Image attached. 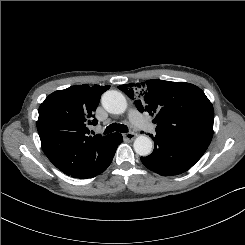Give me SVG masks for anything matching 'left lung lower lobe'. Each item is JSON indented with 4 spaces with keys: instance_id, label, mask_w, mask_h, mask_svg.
Returning a JSON list of instances; mask_svg holds the SVG:
<instances>
[{
    "instance_id": "obj_1",
    "label": "left lung lower lobe",
    "mask_w": 245,
    "mask_h": 245,
    "mask_svg": "<svg viewBox=\"0 0 245 245\" xmlns=\"http://www.w3.org/2000/svg\"><path fill=\"white\" fill-rule=\"evenodd\" d=\"M154 150L142 163L150 170L162 175L182 174L189 170L205 153L208 144L180 135L156 133Z\"/></svg>"
}]
</instances>
